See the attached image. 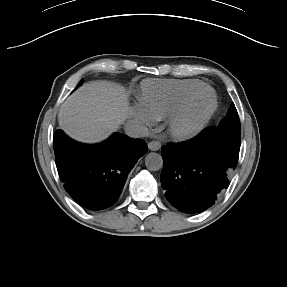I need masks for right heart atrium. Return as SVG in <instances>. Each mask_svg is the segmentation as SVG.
Listing matches in <instances>:
<instances>
[{"instance_id": "obj_1", "label": "right heart atrium", "mask_w": 287, "mask_h": 287, "mask_svg": "<svg viewBox=\"0 0 287 287\" xmlns=\"http://www.w3.org/2000/svg\"><path fill=\"white\" fill-rule=\"evenodd\" d=\"M134 117L146 126H150L154 122L153 117L141 106L135 107Z\"/></svg>"}]
</instances>
